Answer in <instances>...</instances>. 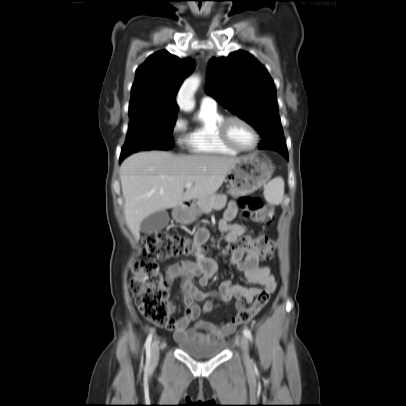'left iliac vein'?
Masks as SVG:
<instances>
[{"label": "left iliac vein", "instance_id": "left-iliac-vein-1", "mask_svg": "<svg viewBox=\"0 0 406 406\" xmlns=\"http://www.w3.org/2000/svg\"><path fill=\"white\" fill-rule=\"evenodd\" d=\"M240 347L243 353V359L246 364H250L251 359L249 355V341L246 336H242L240 339Z\"/></svg>", "mask_w": 406, "mask_h": 406}]
</instances>
